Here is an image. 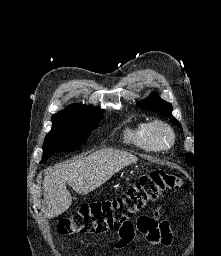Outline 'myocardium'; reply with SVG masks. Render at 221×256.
<instances>
[{
    "instance_id": "obj_1",
    "label": "myocardium",
    "mask_w": 221,
    "mask_h": 256,
    "mask_svg": "<svg viewBox=\"0 0 221 256\" xmlns=\"http://www.w3.org/2000/svg\"><path fill=\"white\" fill-rule=\"evenodd\" d=\"M164 131L169 135V141L167 143H162L159 139V132ZM148 137L157 150H165L170 148L175 142V133L172 127L162 121L153 120L148 123Z\"/></svg>"
}]
</instances>
